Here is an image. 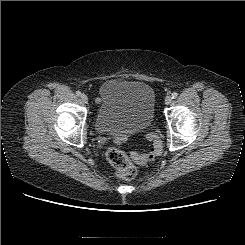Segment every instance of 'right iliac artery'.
Masks as SVG:
<instances>
[{
  "label": "right iliac artery",
  "mask_w": 245,
  "mask_h": 245,
  "mask_svg": "<svg viewBox=\"0 0 245 245\" xmlns=\"http://www.w3.org/2000/svg\"><path fill=\"white\" fill-rule=\"evenodd\" d=\"M81 94H82V93H81L80 91H76V95H77V96H81Z\"/></svg>",
  "instance_id": "obj_1"
}]
</instances>
